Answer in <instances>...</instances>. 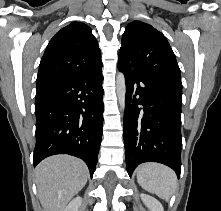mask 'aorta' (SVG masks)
Instances as JSON below:
<instances>
[{"label":"aorta","instance_id":"762f6f07","mask_svg":"<svg viewBox=\"0 0 221 211\" xmlns=\"http://www.w3.org/2000/svg\"><path fill=\"white\" fill-rule=\"evenodd\" d=\"M116 91L120 108L124 111L126 106V82L122 72L118 73L116 77Z\"/></svg>","mask_w":221,"mask_h":211}]
</instances>
